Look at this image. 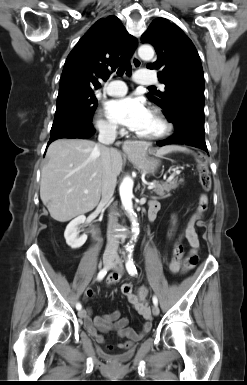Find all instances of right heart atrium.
<instances>
[{"instance_id":"d8ad5b80","label":"right heart atrium","mask_w":247,"mask_h":385,"mask_svg":"<svg viewBox=\"0 0 247 385\" xmlns=\"http://www.w3.org/2000/svg\"><path fill=\"white\" fill-rule=\"evenodd\" d=\"M96 125L98 130L104 134L112 135L115 134L118 130L117 126L110 120L106 119L102 113H99Z\"/></svg>"}]
</instances>
